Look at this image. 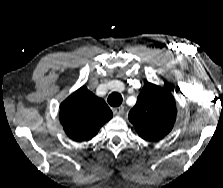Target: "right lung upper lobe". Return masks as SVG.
I'll use <instances>...</instances> for the list:
<instances>
[{
    "mask_svg": "<svg viewBox=\"0 0 223 188\" xmlns=\"http://www.w3.org/2000/svg\"><path fill=\"white\" fill-rule=\"evenodd\" d=\"M112 117L105 101L86 86L72 93L60 105V122L68 137L76 142L90 140Z\"/></svg>",
    "mask_w": 223,
    "mask_h": 188,
    "instance_id": "cb5924a9",
    "label": "right lung upper lobe"
}]
</instances>
